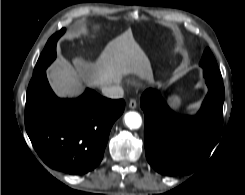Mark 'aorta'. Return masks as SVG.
I'll return each instance as SVG.
<instances>
[{
    "mask_svg": "<svg viewBox=\"0 0 245 195\" xmlns=\"http://www.w3.org/2000/svg\"><path fill=\"white\" fill-rule=\"evenodd\" d=\"M125 123L130 129H138L142 124V119L137 112H127L124 116Z\"/></svg>",
    "mask_w": 245,
    "mask_h": 195,
    "instance_id": "762f6f07",
    "label": "aorta"
}]
</instances>
